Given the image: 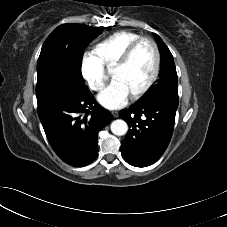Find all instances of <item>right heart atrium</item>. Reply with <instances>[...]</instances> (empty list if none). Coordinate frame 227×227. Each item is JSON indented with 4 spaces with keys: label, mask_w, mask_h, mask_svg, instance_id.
<instances>
[{
    "label": "right heart atrium",
    "mask_w": 227,
    "mask_h": 227,
    "mask_svg": "<svg viewBox=\"0 0 227 227\" xmlns=\"http://www.w3.org/2000/svg\"><path fill=\"white\" fill-rule=\"evenodd\" d=\"M80 71L84 80L94 91H100L108 78L103 63L94 52L87 51L82 55Z\"/></svg>",
    "instance_id": "right-heart-atrium-1"
}]
</instances>
